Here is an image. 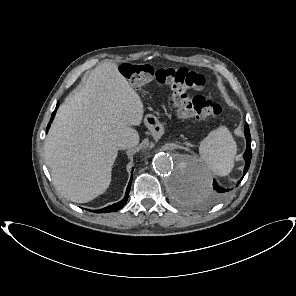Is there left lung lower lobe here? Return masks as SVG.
Segmentation results:
<instances>
[{
	"label": "left lung lower lobe",
	"mask_w": 296,
	"mask_h": 296,
	"mask_svg": "<svg viewBox=\"0 0 296 296\" xmlns=\"http://www.w3.org/2000/svg\"><path fill=\"white\" fill-rule=\"evenodd\" d=\"M245 136H246V140H247V148H246V151L244 153V159L246 161V164H245V168H244V175L246 174L249 166H250V160H251V157H252V150H251V136H250V132H249V127H248V124L245 125ZM243 175V177H244ZM243 177L240 179V181L238 182V184L241 182V180L243 179ZM213 187L215 190H217V192L219 193H223V192H228L229 189H224V188H221L217 185V183L214 181L213 182ZM183 188H180L179 190H181ZM178 190V191H179Z\"/></svg>",
	"instance_id": "0a47b994"
}]
</instances>
